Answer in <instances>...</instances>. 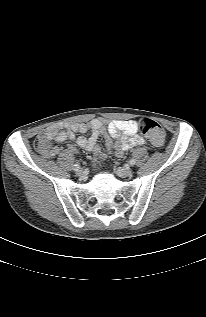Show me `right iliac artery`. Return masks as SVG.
Segmentation results:
<instances>
[{"mask_svg":"<svg viewBox=\"0 0 206 317\" xmlns=\"http://www.w3.org/2000/svg\"><path fill=\"white\" fill-rule=\"evenodd\" d=\"M79 168H80V165H79V164H74V165H73V169H74L75 171H77Z\"/></svg>","mask_w":206,"mask_h":317,"instance_id":"82829eb1","label":"right iliac artery"}]
</instances>
